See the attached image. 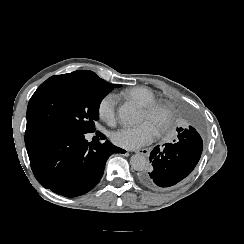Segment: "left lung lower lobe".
<instances>
[{
    "mask_svg": "<svg viewBox=\"0 0 244 244\" xmlns=\"http://www.w3.org/2000/svg\"><path fill=\"white\" fill-rule=\"evenodd\" d=\"M201 127L193 116H187L184 126L177 128L173 143L156 146L150 154L153 168L142 171L138 179L149 189H172L187 177L197 165L203 150Z\"/></svg>",
    "mask_w": 244,
    "mask_h": 244,
    "instance_id": "left-lung-lower-lobe-1",
    "label": "left lung lower lobe"
}]
</instances>
